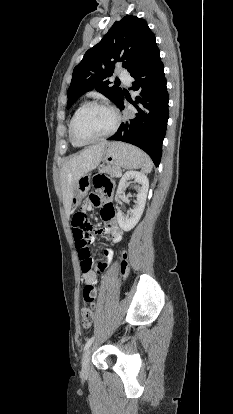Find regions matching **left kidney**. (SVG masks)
I'll return each instance as SVG.
<instances>
[{
  "mask_svg": "<svg viewBox=\"0 0 233 414\" xmlns=\"http://www.w3.org/2000/svg\"><path fill=\"white\" fill-rule=\"evenodd\" d=\"M130 179H134V182L138 183V193L136 195V204L133 209L130 210L129 215L125 216L121 211L117 213L118 224L124 231H130L139 222L145 208L149 188V181L145 174L137 171H127L119 182L115 196L116 201H118V196L123 193L125 185Z\"/></svg>",
  "mask_w": 233,
  "mask_h": 414,
  "instance_id": "left-kidney-1",
  "label": "left kidney"
}]
</instances>
